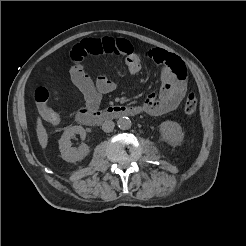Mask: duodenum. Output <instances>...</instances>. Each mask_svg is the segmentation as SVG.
Here are the masks:
<instances>
[{
  "mask_svg": "<svg viewBox=\"0 0 246 246\" xmlns=\"http://www.w3.org/2000/svg\"><path fill=\"white\" fill-rule=\"evenodd\" d=\"M139 113H141V108L139 106L115 105L104 110L81 109L77 113L76 119L78 123L85 126H98L104 121L124 116H135Z\"/></svg>",
  "mask_w": 246,
  "mask_h": 246,
  "instance_id": "duodenum-1",
  "label": "duodenum"
}]
</instances>
